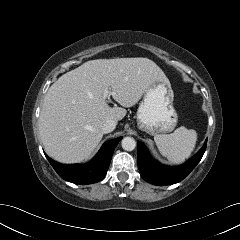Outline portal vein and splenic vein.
I'll return each mask as SVG.
<instances>
[{
  "label": "portal vein and splenic vein",
  "instance_id": "18ae733b",
  "mask_svg": "<svg viewBox=\"0 0 240 240\" xmlns=\"http://www.w3.org/2000/svg\"><path fill=\"white\" fill-rule=\"evenodd\" d=\"M110 95H112V92L106 88L103 94V99L106 100Z\"/></svg>",
  "mask_w": 240,
  "mask_h": 240
}]
</instances>
